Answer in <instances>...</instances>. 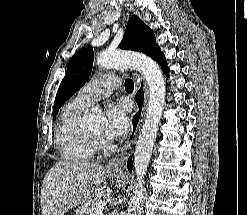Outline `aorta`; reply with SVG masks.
<instances>
[{
    "label": "aorta",
    "mask_w": 247,
    "mask_h": 215,
    "mask_svg": "<svg viewBox=\"0 0 247 215\" xmlns=\"http://www.w3.org/2000/svg\"><path fill=\"white\" fill-rule=\"evenodd\" d=\"M97 65L117 69H136L144 76L149 86L147 113L134 152L136 180L134 194L127 214L140 215L144 177L151 159L165 102L164 77L159 65L153 59L141 53L126 51L102 52L97 57ZM101 119L102 111L97 107H93L86 116L85 122L89 125H94L98 124Z\"/></svg>",
    "instance_id": "762f6f07"
}]
</instances>
